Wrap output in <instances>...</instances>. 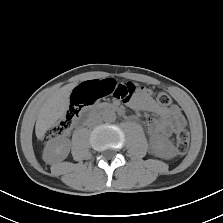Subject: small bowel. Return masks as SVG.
Instances as JSON below:
<instances>
[{
  "label": "small bowel",
  "instance_id": "obj_1",
  "mask_svg": "<svg viewBox=\"0 0 223 223\" xmlns=\"http://www.w3.org/2000/svg\"><path fill=\"white\" fill-rule=\"evenodd\" d=\"M127 103L134 109L154 113L157 118H147L146 124L152 137L170 136L186 126V119L177 106L162 107L154 98L149 88H142L139 93Z\"/></svg>",
  "mask_w": 223,
  "mask_h": 223
}]
</instances>
